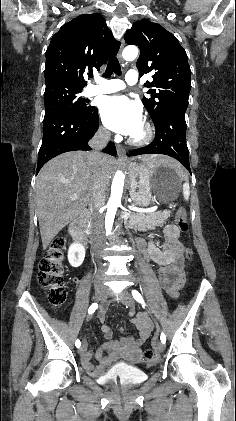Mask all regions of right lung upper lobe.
Segmentation results:
<instances>
[{
  "instance_id": "cb5924a9",
  "label": "right lung upper lobe",
  "mask_w": 236,
  "mask_h": 421,
  "mask_svg": "<svg viewBox=\"0 0 236 421\" xmlns=\"http://www.w3.org/2000/svg\"><path fill=\"white\" fill-rule=\"evenodd\" d=\"M119 47L101 14L76 17L51 39L46 51V86L83 89L85 68L99 70Z\"/></svg>"
}]
</instances>
